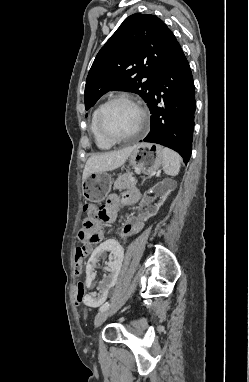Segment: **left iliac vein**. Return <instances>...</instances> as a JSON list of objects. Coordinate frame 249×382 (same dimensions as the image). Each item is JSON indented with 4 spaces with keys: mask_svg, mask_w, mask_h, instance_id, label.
Here are the masks:
<instances>
[{
    "mask_svg": "<svg viewBox=\"0 0 249 382\" xmlns=\"http://www.w3.org/2000/svg\"><path fill=\"white\" fill-rule=\"evenodd\" d=\"M109 316V311L108 309L107 310H103V311H100L96 317H95V326H99L101 325Z\"/></svg>",
    "mask_w": 249,
    "mask_h": 382,
    "instance_id": "1",
    "label": "left iliac vein"
}]
</instances>
